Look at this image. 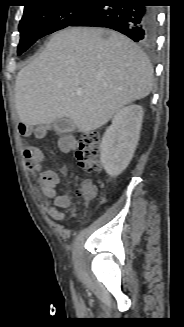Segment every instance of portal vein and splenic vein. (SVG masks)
Returning <instances> with one entry per match:
<instances>
[{
  "label": "portal vein and splenic vein",
  "instance_id": "1",
  "mask_svg": "<svg viewBox=\"0 0 184 327\" xmlns=\"http://www.w3.org/2000/svg\"><path fill=\"white\" fill-rule=\"evenodd\" d=\"M76 93H77L78 95H81V94H82V90L79 89V90L76 91Z\"/></svg>",
  "mask_w": 184,
  "mask_h": 327
}]
</instances>
